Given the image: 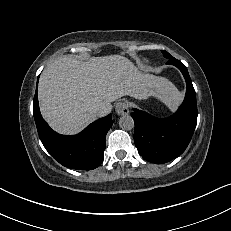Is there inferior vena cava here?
<instances>
[{
    "label": "inferior vena cava",
    "mask_w": 231,
    "mask_h": 231,
    "mask_svg": "<svg viewBox=\"0 0 231 231\" xmlns=\"http://www.w3.org/2000/svg\"><path fill=\"white\" fill-rule=\"evenodd\" d=\"M110 111L106 108V107H100L96 110V115L98 117H103L106 116L107 114H109Z\"/></svg>",
    "instance_id": "1"
}]
</instances>
